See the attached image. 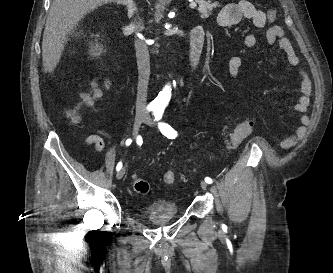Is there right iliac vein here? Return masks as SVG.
Instances as JSON below:
<instances>
[{"label": "right iliac vein", "instance_id": "63e3f726", "mask_svg": "<svg viewBox=\"0 0 333 273\" xmlns=\"http://www.w3.org/2000/svg\"><path fill=\"white\" fill-rule=\"evenodd\" d=\"M144 117H145L144 112H138L136 114L134 124H133V137H136L138 135V132H139L141 123L144 120ZM125 171H126L125 167H123L122 169L119 170V172L116 175L118 180L123 178Z\"/></svg>", "mask_w": 333, "mask_h": 273}]
</instances>
